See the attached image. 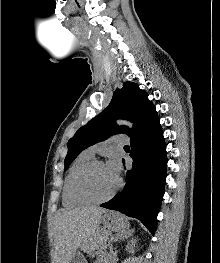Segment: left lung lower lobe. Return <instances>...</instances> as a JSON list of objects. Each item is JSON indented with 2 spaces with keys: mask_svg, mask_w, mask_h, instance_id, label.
Wrapping results in <instances>:
<instances>
[{
  "mask_svg": "<svg viewBox=\"0 0 220 263\" xmlns=\"http://www.w3.org/2000/svg\"><path fill=\"white\" fill-rule=\"evenodd\" d=\"M133 167L127 171L123 191L101 207L139 219L154 234L164 195L166 145L159 117L130 140Z\"/></svg>",
  "mask_w": 220,
  "mask_h": 263,
  "instance_id": "1",
  "label": "left lung lower lobe"
}]
</instances>
